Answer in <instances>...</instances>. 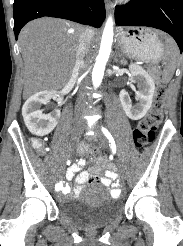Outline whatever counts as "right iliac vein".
I'll return each instance as SVG.
<instances>
[{
    "mask_svg": "<svg viewBox=\"0 0 183 246\" xmlns=\"http://www.w3.org/2000/svg\"><path fill=\"white\" fill-rule=\"evenodd\" d=\"M83 129V125L81 122H76L74 124V127L72 129V133H71V141L72 143L76 142L82 132Z\"/></svg>",
    "mask_w": 183,
    "mask_h": 246,
    "instance_id": "63e3f726",
    "label": "right iliac vein"
}]
</instances>
